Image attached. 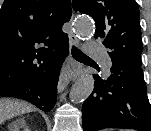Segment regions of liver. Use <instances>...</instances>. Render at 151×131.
I'll return each mask as SVG.
<instances>
[{
    "label": "liver",
    "mask_w": 151,
    "mask_h": 131,
    "mask_svg": "<svg viewBox=\"0 0 151 131\" xmlns=\"http://www.w3.org/2000/svg\"><path fill=\"white\" fill-rule=\"evenodd\" d=\"M32 110V106L24 102L14 100H0V125L16 115L30 112Z\"/></svg>",
    "instance_id": "liver-1"
}]
</instances>
